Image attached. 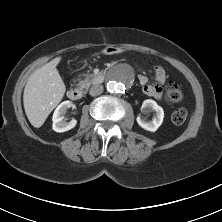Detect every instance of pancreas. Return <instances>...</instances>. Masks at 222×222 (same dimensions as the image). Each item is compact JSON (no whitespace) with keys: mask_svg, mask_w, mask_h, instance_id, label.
<instances>
[{"mask_svg":"<svg viewBox=\"0 0 222 222\" xmlns=\"http://www.w3.org/2000/svg\"><path fill=\"white\" fill-rule=\"evenodd\" d=\"M95 78L96 76L93 74L87 75L84 80L79 81L78 86L80 88L87 89L91 84H93Z\"/></svg>","mask_w":222,"mask_h":222,"instance_id":"1","label":"pancreas"}]
</instances>
